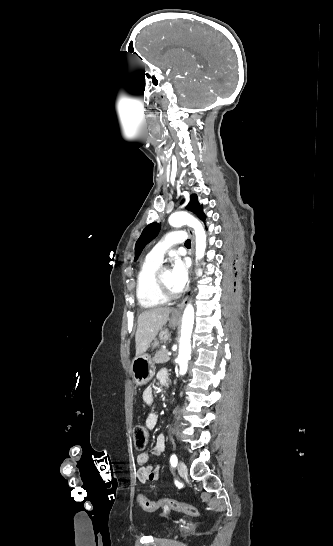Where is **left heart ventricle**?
Segmentation results:
<instances>
[{"label":"left heart ventricle","instance_id":"left-heart-ventricle-1","mask_svg":"<svg viewBox=\"0 0 333 546\" xmlns=\"http://www.w3.org/2000/svg\"><path fill=\"white\" fill-rule=\"evenodd\" d=\"M162 279H163V283L164 285L169 289L171 290L172 292H176L172 286V280H171V273L170 271L168 270H165L163 272V276H162Z\"/></svg>","mask_w":333,"mask_h":546}]
</instances>
